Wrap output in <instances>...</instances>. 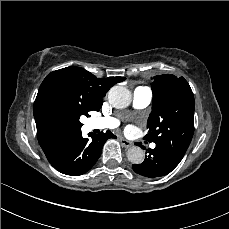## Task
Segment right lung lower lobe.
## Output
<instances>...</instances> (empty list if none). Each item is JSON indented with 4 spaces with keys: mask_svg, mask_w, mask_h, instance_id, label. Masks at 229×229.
Masks as SVG:
<instances>
[{
    "mask_svg": "<svg viewBox=\"0 0 229 229\" xmlns=\"http://www.w3.org/2000/svg\"><path fill=\"white\" fill-rule=\"evenodd\" d=\"M91 140L83 138L81 130L63 141L47 157L50 164L59 172L78 176L87 172L101 155L104 143L108 138H116L110 131L91 134Z\"/></svg>",
    "mask_w": 229,
    "mask_h": 229,
    "instance_id": "obj_1",
    "label": "right lung lower lobe"
}]
</instances>
